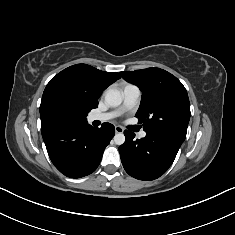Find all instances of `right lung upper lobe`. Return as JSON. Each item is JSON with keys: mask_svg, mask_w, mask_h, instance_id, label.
I'll return each instance as SVG.
<instances>
[{"mask_svg": "<svg viewBox=\"0 0 235 235\" xmlns=\"http://www.w3.org/2000/svg\"><path fill=\"white\" fill-rule=\"evenodd\" d=\"M119 78L117 72H104L87 64H76L58 73L44 92L61 89L89 112L98 107V98L103 90Z\"/></svg>", "mask_w": 235, "mask_h": 235, "instance_id": "obj_1", "label": "right lung upper lobe"}]
</instances>
